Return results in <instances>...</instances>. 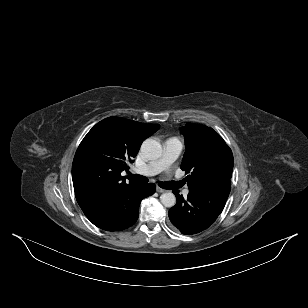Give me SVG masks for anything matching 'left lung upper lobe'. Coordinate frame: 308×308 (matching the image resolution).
<instances>
[{
	"instance_id": "left-lung-upper-lobe-1",
	"label": "left lung upper lobe",
	"mask_w": 308,
	"mask_h": 308,
	"mask_svg": "<svg viewBox=\"0 0 308 308\" xmlns=\"http://www.w3.org/2000/svg\"><path fill=\"white\" fill-rule=\"evenodd\" d=\"M185 138L186 151L181 169L190 189L203 185L230 180L233 170V154L223 138L212 128L189 123L180 128Z\"/></svg>"
}]
</instances>
